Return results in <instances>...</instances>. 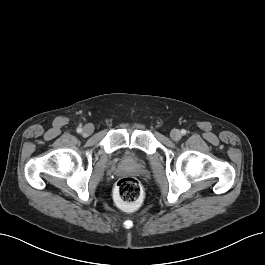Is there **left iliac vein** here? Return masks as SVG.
<instances>
[{"label": "left iliac vein", "mask_w": 265, "mask_h": 265, "mask_svg": "<svg viewBox=\"0 0 265 265\" xmlns=\"http://www.w3.org/2000/svg\"><path fill=\"white\" fill-rule=\"evenodd\" d=\"M171 139L177 141L181 138V132L178 129H173L170 133Z\"/></svg>", "instance_id": "obj_1"}]
</instances>
